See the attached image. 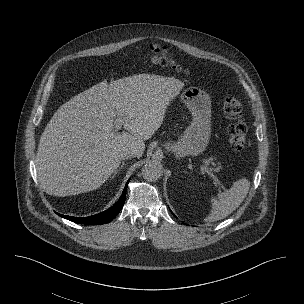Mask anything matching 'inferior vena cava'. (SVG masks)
<instances>
[{"label":"inferior vena cava","mask_w":304,"mask_h":304,"mask_svg":"<svg viewBox=\"0 0 304 304\" xmlns=\"http://www.w3.org/2000/svg\"><path fill=\"white\" fill-rule=\"evenodd\" d=\"M137 156V152L135 150H127L124 154H122V159H131Z\"/></svg>","instance_id":"602c4592"}]
</instances>
